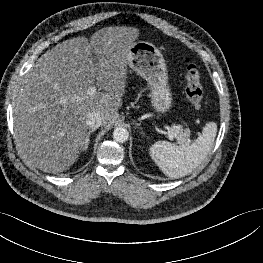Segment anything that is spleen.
<instances>
[{
  "mask_svg": "<svg viewBox=\"0 0 263 263\" xmlns=\"http://www.w3.org/2000/svg\"><path fill=\"white\" fill-rule=\"evenodd\" d=\"M217 134L215 122H208L202 134L191 145H175L167 141L153 144L149 153L160 170L170 178H181L196 169L210 153Z\"/></svg>",
  "mask_w": 263,
  "mask_h": 263,
  "instance_id": "3e777b00",
  "label": "spleen"
}]
</instances>
